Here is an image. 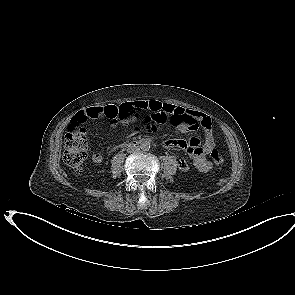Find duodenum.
I'll return each instance as SVG.
<instances>
[{"instance_id":"obj_1","label":"duodenum","mask_w":295,"mask_h":295,"mask_svg":"<svg viewBox=\"0 0 295 295\" xmlns=\"http://www.w3.org/2000/svg\"><path fill=\"white\" fill-rule=\"evenodd\" d=\"M140 144H141V140H133L130 143H128V146L129 147H136V146H138Z\"/></svg>"}]
</instances>
